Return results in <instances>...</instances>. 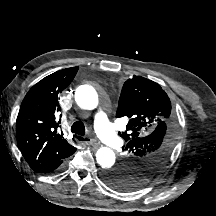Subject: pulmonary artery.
I'll list each match as a JSON object with an SVG mask.
<instances>
[{
  "instance_id": "e3ab8cb5",
  "label": "pulmonary artery",
  "mask_w": 216,
  "mask_h": 216,
  "mask_svg": "<svg viewBox=\"0 0 216 216\" xmlns=\"http://www.w3.org/2000/svg\"><path fill=\"white\" fill-rule=\"evenodd\" d=\"M94 128L97 135L109 147L118 148L123 145V140L116 134L104 111L99 110L95 114Z\"/></svg>"
}]
</instances>
